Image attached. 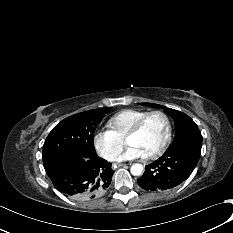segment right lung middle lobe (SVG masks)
<instances>
[{"instance_id":"1","label":"right lung middle lobe","mask_w":233,"mask_h":233,"mask_svg":"<svg viewBox=\"0 0 233 233\" xmlns=\"http://www.w3.org/2000/svg\"><path fill=\"white\" fill-rule=\"evenodd\" d=\"M110 109L111 107L85 111L58 123L43 145L42 159L45 170L75 154L88 157L97 155L93 143L94 132Z\"/></svg>"}]
</instances>
